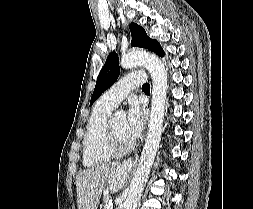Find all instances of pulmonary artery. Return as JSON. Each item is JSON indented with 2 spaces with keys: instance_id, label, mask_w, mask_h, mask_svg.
<instances>
[{
  "instance_id": "pulmonary-artery-1",
  "label": "pulmonary artery",
  "mask_w": 253,
  "mask_h": 209,
  "mask_svg": "<svg viewBox=\"0 0 253 209\" xmlns=\"http://www.w3.org/2000/svg\"><path fill=\"white\" fill-rule=\"evenodd\" d=\"M145 81L146 74L144 72L132 71L107 90L101 96V100L112 107H116L132 89L141 86Z\"/></svg>"
}]
</instances>
